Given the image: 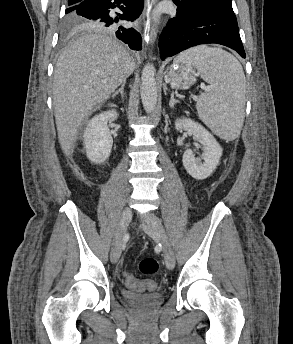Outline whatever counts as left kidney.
Masks as SVG:
<instances>
[{
  "label": "left kidney",
  "mask_w": 293,
  "mask_h": 344,
  "mask_svg": "<svg viewBox=\"0 0 293 344\" xmlns=\"http://www.w3.org/2000/svg\"><path fill=\"white\" fill-rule=\"evenodd\" d=\"M177 131H190L194 138L203 145V163L195 158L192 150H186L183 154V165L189 175L196 180L208 178L216 169L222 156V147L214 136L201 124L190 118H179L175 121Z\"/></svg>",
  "instance_id": "obj_1"
}]
</instances>
